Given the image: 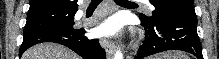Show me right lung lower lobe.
<instances>
[{
  "label": "right lung lower lobe",
  "mask_w": 219,
  "mask_h": 59,
  "mask_svg": "<svg viewBox=\"0 0 219 59\" xmlns=\"http://www.w3.org/2000/svg\"><path fill=\"white\" fill-rule=\"evenodd\" d=\"M83 28H52L24 35L19 56L29 47L42 43L54 42L62 44L84 59H105V50L98 39L89 40Z\"/></svg>",
  "instance_id": "right-lung-lower-lobe-1"
}]
</instances>
